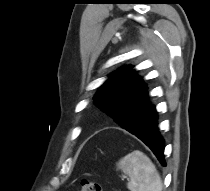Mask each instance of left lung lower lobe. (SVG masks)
Masks as SVG:
<instances>
[{
  "instance_id": "left-lung-lower-lobe-1",
  "label": "left lung lower lobe",
  "mask_w": 210,
  "mask_h": 191,
  "mask_svg": "<svg viewBox=\"0 0 210 191\" xmlns=\"http://www.w3.org/2000/svg\"><path fill=\"white\" fill-rule=\"evenodd\" d=\"M128 120H135L137 125L136 129L130 133L142 140L152 150L159 162L166 166L163 154L164 139L159 132L155 106L149 101V98L131 109Z\"/></svg>"
}]
</instances>
